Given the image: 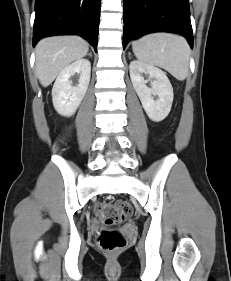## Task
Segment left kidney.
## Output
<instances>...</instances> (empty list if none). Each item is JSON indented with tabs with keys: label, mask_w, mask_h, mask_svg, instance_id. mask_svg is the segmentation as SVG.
Here are the masks:
<instances>
[{
	"label": "left kidney",
	"mask_w": 231,
	"mask_h": 281,
	"mask_svg": "<svg viewBox=\"0 0 231 281\" xmlns=\"http://www.w3.org/2000/svg\"><path fill=\"white\" fill-rule=\"evenodd\" d=\"M129 71L133 87L148 117L155 122L164 120L173 102V88L164 71L136 60L130 63ZM143 74L148 75V80L144 79ZM148 81L151 87L146 85Z\"/></svg>",
	"instance_id": "1"
}]
</instances>
